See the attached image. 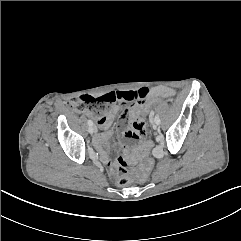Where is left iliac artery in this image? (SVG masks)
I'll use <instances>...</instances> for the list:
<instances>
[{"instance_id": "1", "label": "left iliac artery", "mask_w": 241, "mask_h": 241, "mask_svg": "<svg viewBox=\"0 0 241 241\" xmlns=\"http://www.w3.org/2000/svg\"><path fill=\"white\" fill-rule=\"evenodd\" d=\"M153 114H154V112H152ZM155 122L157 123V124H160V118L158 117V116H155Z\"/></svg>"}]
</instances>
